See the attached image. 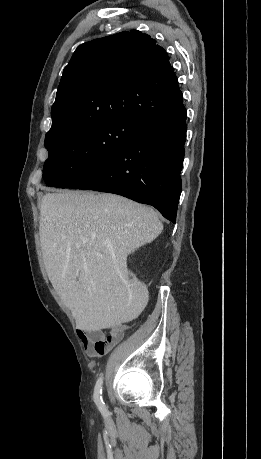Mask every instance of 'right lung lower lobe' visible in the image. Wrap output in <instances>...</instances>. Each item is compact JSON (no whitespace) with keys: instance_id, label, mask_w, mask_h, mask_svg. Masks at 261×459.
<instances>
[{"instance_id":"right-lung-lower-lobe-1","label":"right lung lower lobe","mask_w":261,"mask_h":459,"mask_svg":"<svg viewBox=\"0 0 261 459\" xmlns=\"http://www.w3.org/2000/svg\"><path fill=\"white\" fill-rule=\"evenodd\" d=\"M186 116L182 99L144 122L118 154L70 188L122 195L154 206L175 223L182 189Z\"/></svg>"}]
</instances>
